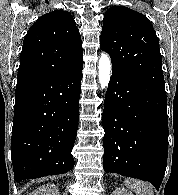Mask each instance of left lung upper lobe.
Instances as JSON below:
<instances>
[{"mask_svg":"<svg viewBox=\"0 0 178 195\" xmlns=\"http://www.w3.org/2000/svg\"><path fill=\"white\" fill-rule=\"evenodd\" d=\"M100 41V48L111 57L113 69L165 90L159 41L143 14L123 6L109 8Z\"/></svg>","mask_w":178,"mask_h":195,"instance_id":"obj_1","label":"left lung upper lobe"}]
</instances>
